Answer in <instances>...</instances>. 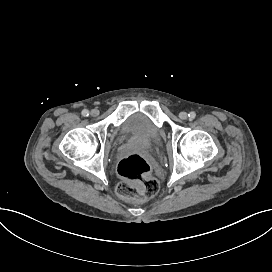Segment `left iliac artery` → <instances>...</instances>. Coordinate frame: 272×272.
Instances as JSON below:
<instances>
[{"instance_id":"left-iliac-artery-1","label":"left iliac artery","mask_w":272,"mask_h":272,"mask_svg":"<svg viewBox=\"0 0 272 272\" xmlns=\"http://www.w3.org/2000/svg\"><path fill=\"white\" fill-rule=\"evenodd\" d=\"M188 116H189V118H190L191 120H193V119L196 117V114H195V112H190V113L188 114Z\"/></svg>"}]
</instances>
